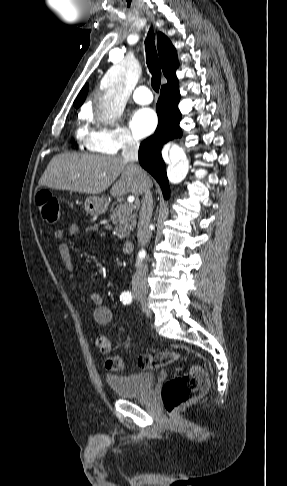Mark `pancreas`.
<instances>
[{"mask_svg": "<svg viewBox=\"0 0 287 486\" xmlns=\"http://www.w3.org/2000/svg\"><path fill=\"white\" fill-rule=\"evenodd\" d=\"M133 209L132 204L121 203L111 211L110 218L115 225L114 234L121 240L126 238L136 225L137 215Z\"/></svg>", "mask_w": 287, "mask_h": 486, "instance_id": "obj_1", "label": "pancreas"}]
</instances>
